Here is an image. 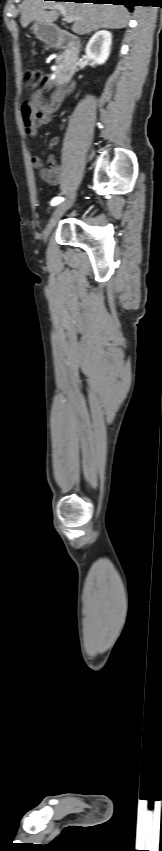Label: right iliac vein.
<instances>
[{"mask_svg":"<svg viewBox=\"0 0 162 851\" xmlns=\"http://www.w3.org/2000/svg\"><path fill=\"white\" fill-rule=\"evenodd\" d=\"M75 197H76V191L72 190L69 193V199L67 201L63 202L62 204H60L59 206H57L54 209V211L51 215V218L49 219V222L47 223V225L44 229V232H43V240L44 241H47V239H48L49 235L51 234V232H52L54 226L56 225L57 221L69 209V207L71 206L72 201L75 199Z\"/></svg>","mask_w":162,"mask_h":851,"instance_id":"63e3f726","label":"right iliac vein"}]
</instances>
